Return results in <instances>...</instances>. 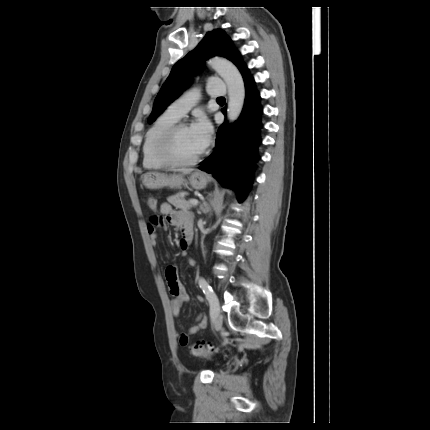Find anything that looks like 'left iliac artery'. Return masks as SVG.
<instances>
[{"label":"left iliac artery","instance_id":"obj_1","mask_svg":"<svg viewBox=\"0 0 430 430\" xmlns=\"http://www.w3.org/2000/svg\"><path fill=\"white\" fill-rule=\"evenodd\" d=\"M200 288L203 290V293L206 295L207 300L210 303V316L213 317L214 308L219 304L218 298L213 291L212 287L208 284V282L203 278H199L198 280Z\"/></svg>","mask_w":430,"mask_h":430}]
</instances>
